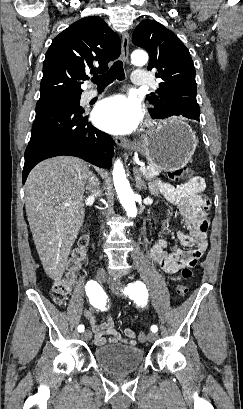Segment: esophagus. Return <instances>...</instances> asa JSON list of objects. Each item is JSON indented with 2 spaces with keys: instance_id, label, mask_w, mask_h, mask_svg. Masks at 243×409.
I'll list each match as a JSON object with an SVG mask.
<instances>
[{
  "instance_id": "1",
  "label": "esophagus",
  "mask_w": 243,
  "mask_h": 409,
  "mask_svg": "<svg viewBox=\"0 0 243 409\" xmlns=\"http://www.w3.org/2000/svg\"><path fill=\"white\" fill-rule=\"evenodd\" d=\"M129 42H130L129 34L128 32H125L122 36V47H121L122 59L124 60V62H128L129 60ZM114 140L117 145L122 146L123 148L132 149L136 147L135 142H132L129 139L124 138V137H115Z\"/></svg>"
}]
</instances>
